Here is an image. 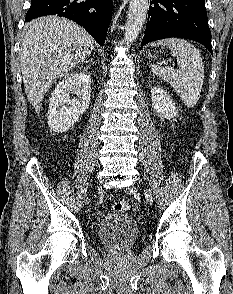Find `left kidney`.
<instances>
[{
  "instance_id": "obj_1",
  "label": "left kidney",
  "mask_w": 233,
  "mask_h": 294,
  "mask_svg": "<svg viewBox=\"0 0 233 294\" xmlns=\"http://www.w3.org/2000/svg\"><path fill=\"white\" fill-rule=\"evenodd\" d=\"M151 99L154 110L161 118L170 120L177 115L174 101L161 87L151 88Z\"/></svg>"
}]
</instances>
